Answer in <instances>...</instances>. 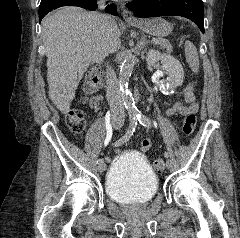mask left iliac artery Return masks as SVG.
Here are the masks:
<instances>
[{"label":"left iliac artery","mask_w":240,"mask_h":238,"mask_svg":"<svg viewBox=\"0 0 240 238\" xmlns=\"http://www.w3.org/2000/svg\"><path fill=\"white\" fill-rule=\"evenodd\" d=\"M137 119H138V121H139V123H140L141 125H143V126H145V127H150L151 121H150V119L147 118L145 115L138 114V115H137ZM164 156H165L166 158H168V157H169V153H168V152H165V153H164Z\"/></svg>","instance_id":"1"}]
</instances>
